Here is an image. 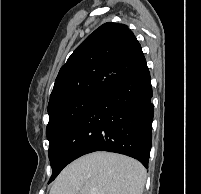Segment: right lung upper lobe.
<instances>
[{"label":"right lung upper lobe","instance_id":"obj_1","mask_svg":"<svg viewBox=\"0 0 201 194\" xmlns=\"http://www.w3.org/2000/svg\"><path fill=\"white\" fill-rule=\"evenodd\" d=\"M145 61L127 25L108 22L91 33L61 67L48 111L65 101L101 95Z\"/></svg>","mask_w":201,"mask_h":194}]
</instances>
